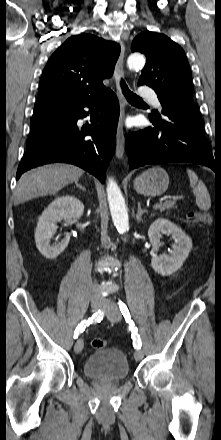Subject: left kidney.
Segmentation results:
<instances>
[{
    "label": "left kidney",
    "mask_w": 221,
    "mask_h": 440,
    "mask_svg": "<svg viewBox=\"0 0 221 440\" xmlns=\"http://www.w3.org/2000/svg\"><path fill=\"white\" fill-rule=\"evenodd\" d=\"M162 234L171 235L174 239L173 250L170 251L169 255H157V251L161 246ZM148 237L156 252L152 256L151 266L162 276L171 275L179 270L192 249L191 238L177 225L164 218H158L150 225Z\"/></svg>",
    "instance_id": "left-kidney-1"
}]
</instances>
